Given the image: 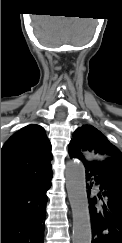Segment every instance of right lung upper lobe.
Here are the masks:
<instances>
[{"instance_id": "cb5924a9", "label": "right lung upper lobe", "mask_w": 122, "mask_h": 243, "mask_svg": "<svg viewBox=\"0 0 122 243\" xmlns=\"http://www.w3.org/2000/svg\"><path fill=\"white\" fill-rule=\"evenodd\" d=\"M51 160V144L43 127L31 124L22 128L1 150V191L51 172Z\"/></svg>"}]
</instances>
